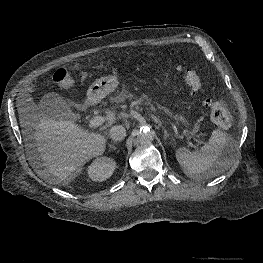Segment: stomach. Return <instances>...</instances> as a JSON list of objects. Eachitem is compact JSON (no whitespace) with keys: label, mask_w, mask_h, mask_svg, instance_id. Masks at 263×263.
<instances>
[{"label":"stomach","mask_w":263,"mask_h":263,"mask_svg":"<svg viewBox=\"0 0 263 263\" xmlns=\"http://www.w3.org/2000/svg\"><path fill=\"white\" fill-rule=\"evenodd\" d=\"M118 84L119 81L115 75L99 78L89 87L87 91L88 100L96 102L104 98L106 95L113 92L117 88ZM175 118L181 122H185V118L183 116H176Z\"/></svg>","instance_id":"stomach-1"}]
</instances>
